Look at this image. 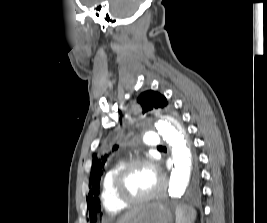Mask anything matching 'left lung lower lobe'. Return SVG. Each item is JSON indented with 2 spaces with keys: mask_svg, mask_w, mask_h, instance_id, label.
Instances as JSON below:
<instances>
[{
  "mask_svg": "<svg viewBox=\"0 0 267 223\" xmlns=\"http://www.w3.org/2000/svg\"><path fill=\"white\" fill-rule=\"evenodd\" d=\"M192 176H199V171H192Z\"/></svg>",
  "mask_w": 267,
  "mask_h": 223,
  "instance_id": "left-lung-lower-lobe-1",
  "label": "left lung lower lobe"
}]
</instances>
